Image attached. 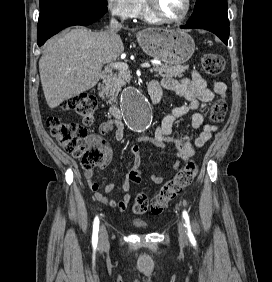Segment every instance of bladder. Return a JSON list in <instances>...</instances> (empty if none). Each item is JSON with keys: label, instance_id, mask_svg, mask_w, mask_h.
Returning a JSON list of instances; mask_svg holds the SVG:
<instances>
[{"label": "bladder", "instance_id": "31cf9c89", "mask_svg": "<svg viewBox=\"0 0 272 282\" xmlns=\"http://www.w3.org/2000/svg\"><path fill=\"white\" fill-rule=\"evenodd\" d=\"M133 224H134V225H137V226H139V227H144V225H145L144 221H141V220H135V221L133 222Z\"/></svg>", "mask_w": 272, "mask_h": 282}]
</instances>
